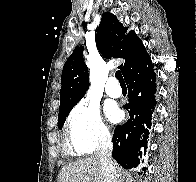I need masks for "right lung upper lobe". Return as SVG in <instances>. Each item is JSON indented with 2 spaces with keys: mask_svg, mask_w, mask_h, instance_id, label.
<instances>
[{
  "mask_svg": "<svg viewBox=\"0 0 196 182\" xmlns=\"http://www.w3.org/2000/svg\"><path fill=\"white\" fill-rule=\"evenodd\" d=\"M127 27L112 13H104L96 34V45L106 58H124L119 66L125 76L139 62L149 56L134 31L126 34ZM82 46L76 47L62 71L59 116H63L83 98L89 88L88 68L83 59Z\"/></svg>",
  "mask_w": 196,
  "mask_h": 182,
  "instance_id": "1",
  "label": "right lung upper lobe"
}]
</instances>
